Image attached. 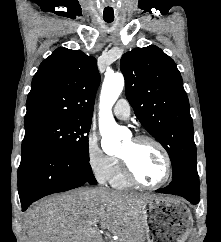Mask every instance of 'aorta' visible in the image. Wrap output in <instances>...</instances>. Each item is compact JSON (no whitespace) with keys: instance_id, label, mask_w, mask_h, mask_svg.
Wrapping results in <instances>:
<instances>
[{"instance_id":"762f6f07","label":"aorta","mask_w":221,"mask_h":242,"mask_svg":"<svg viewBox=\"0 0 221 242\" xmlns=\"http://www.w3.org/2000/svg\"><path fill=\"white\" fill-rule=\"evenodd\" d=\"M124 87L121 73L106 75L100 94L99 129L102 135V148L106 153H115L121 147L122 129L112 115V107Z\"/></svg>"}]
</instances>
